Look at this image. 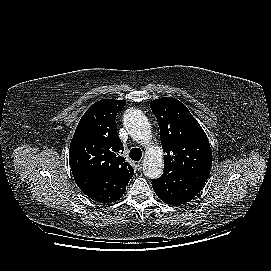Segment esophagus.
I'll list each match as a JSON object with an SVG mask.
<instances>
[{
    "mask_svg": "<svg viewBox=\"0 0 271 271\" xmlns=\"http://www.w3.org/2000/svg\"><path fill=\"white\" fill-rule=\"evenodd\" d=\"M142 166H143V161L140 160V161L137 163L138 170H141V169H142Z\"/></svg>",
    "mask_w": 271,
    "mask_h": 271,
    "instance_id": "obj_1",
    "label": "esophagus"
}]
</instances>
